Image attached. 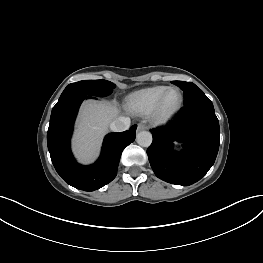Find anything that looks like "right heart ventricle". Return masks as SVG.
<instances>
[{"instance_id":"e07e8e85","label":"right heart ventricle","mask_w":263,"mask_h":263,"mask_svg":"<svg viewBox=\"0 0 263 263\" xmlns=\"http://www.w3.org/2000/svg\"><path fill=\"white\" fill-rule=\"evenodd\" d=\"M167 86H152L132 92L126 98V108L135 115L151 114Z\"/></svg>"}]
</instances>
